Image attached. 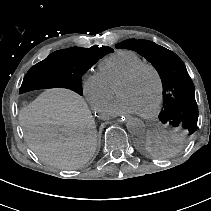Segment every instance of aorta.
<instances>
[{"mask_svg": "<svg viewBox=\"0 0 211 211\" xmlns=\"http://www.w3.org/2000/svg\"><path fill=\"white\" fill-rule=\"evenodd\" d=\"M127 130L134 136H140L145 132V124L138 118H131L126 124Z\"/></svg>", "mask_w": 211, "mask_h": 211, "instance_id": "1", "label": "aorta"}]
</instances>
